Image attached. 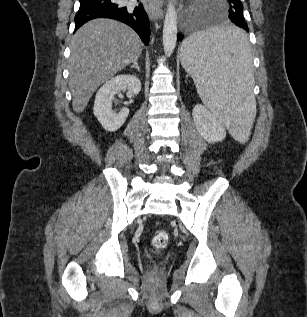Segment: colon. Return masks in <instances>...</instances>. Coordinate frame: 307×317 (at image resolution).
<instances>
[{"label": "colon", "instance_id": "1", "mask_svg": "<svg viewBox=\"0 0 307 317\" xmlns=\"http://www.w3.org/2000/svg\"><path fill=\"white\" fill-rule=\"evenodd\" d=\"M169 242V236L166 231L160 230L153 237L152 244L155 249H164Z\"/></svg>", "mask_w": 307, "mask_h": 317}]
</instances>
